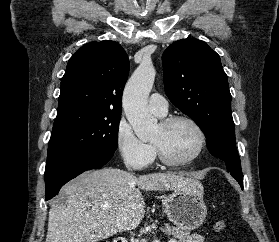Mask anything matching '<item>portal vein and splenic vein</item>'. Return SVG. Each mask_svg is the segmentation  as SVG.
<instances>
[{
  "label": "portal vein and splenic vein",
  "instance_id": "1",
  "mask_svg": "<svg viewBox=\"0 0 279 242\" xmlns=\"http://www.w3.org/2000/svg\"><path fill=\"white\" fill-rule=\"evenodd\" d=\"M169 242H177L175 239L170 240Z\"/></svg>",
  "mask_w": 279,
  "mask_h": 242
}]
</instances>
